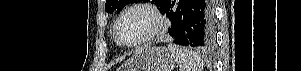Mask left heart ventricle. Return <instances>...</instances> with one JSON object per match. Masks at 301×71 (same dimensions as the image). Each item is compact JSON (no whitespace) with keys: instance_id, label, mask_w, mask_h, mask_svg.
Here are the masks:
<instances>
[{"instance_id":"1","label":"left heart ventricle","mask_w":301,"mask_h":71,"mask_svg":"<svg viewBox=\"0 0 301 71\" xmlns=\"http://www.w3.org/2000/svg\"><path fill=\"white\" fill-rule=\"evenodd\" d=\"M152 27V17L142 10H135L125 15L121 20L118 36L123 43H135L143 38Z\"/></svg>"}]
</instances>
